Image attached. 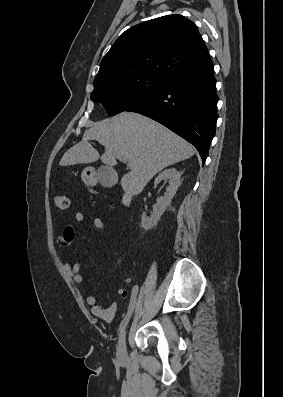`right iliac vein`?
Listing matches in <instances>:
<instances>
[{"label":"right iliac vein","instance_id":"1","mask_svg":"<svg viewBox=\"0 0 283 397\" xmlns=\"http://www.w3.org/2000/svg\"><path fill=\"white\" fill-rule=\"evenodd\" d=\"M127 356V349H126V331L124 330L121 334L119 344L117 347V357L119 360H124Z\"/></svg>","mask_w":283,"mask_h":397}]
</instances>
